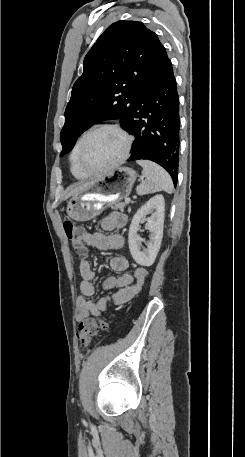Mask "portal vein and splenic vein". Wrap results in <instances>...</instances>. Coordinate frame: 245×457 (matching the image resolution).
I'll return each mask as SVG.
<instances>
[{
    "label": "portal vein and splenic vein",
    "instance_id": "18ae733b",
    "mask_svg": "<svg viewBox=\"0 0 245 457\" xmlns=\"http://www.w3.org/2000/svg\"><path fill=\"white\" fill-rule=\"evenodd\" d=\"M131 198H125V202H130Z\"/></svg>",
    "mask_w": 245,
    "mask_h": 457
}]
</instances>
